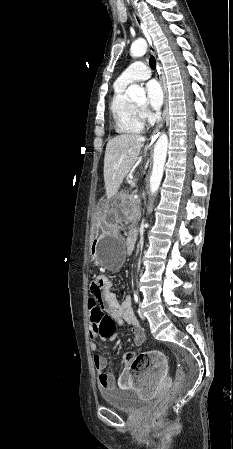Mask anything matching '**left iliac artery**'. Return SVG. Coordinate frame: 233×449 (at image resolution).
Returning a JSON list of instances; mask_svg holds the SVG:
<instances>
[{
    "label": "left iliac artery",
    "instance_id": "44dca946",
    "mask_svg": "<svg viewBox=\"0 0 233 449\" xmlns=\"http://www.w3.org/2000/svg\"><path fill=\"white\" fill-rule=\"evenodd\" d=\"M134 299H135L136 302H138V296H137L136 293H134Z\"/></svg>",
    "mask_w": 233,
    "mask_h": 449
}]
</instances>
